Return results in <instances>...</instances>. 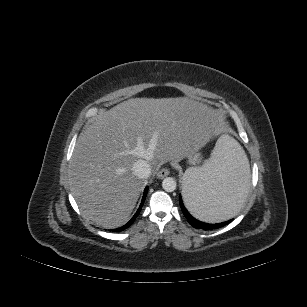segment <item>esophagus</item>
<instances>
[{"mask_svg": "<svg viewBox=\"0 0 307 307\" xmlns=\"http://www.w3.org/2000/svg\"><path fill=\"white\" fill-rule=\"evenodd\" d=\"M169 174H170L169 169H168V168H163V169H161V170L157 173V177H158L159 179H162V178L168 176Z\"/></svg>", "mask_w": 307, "mask_h": 307, "instance_id": "1", "label": "esophagus"}]
</instances>
